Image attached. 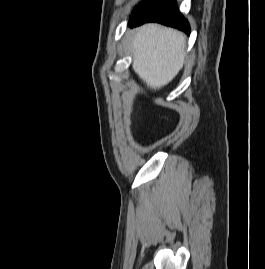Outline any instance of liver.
<instances>
[{"label":"liver","mask_w":265,"mask_h":269,"mask_svg":"<svg viewBox=\"0 0 265 269\" xmlns=\"http://www.w3.org/2000/svg\"><path fill=\"white\" fill-rule=\"evenodd\" d=\"M186 36L175 29L148 23L132 40L133 69L149 88L167 85L185 61Z\"/></svg>","instance_id":"1"}]
</instances>
